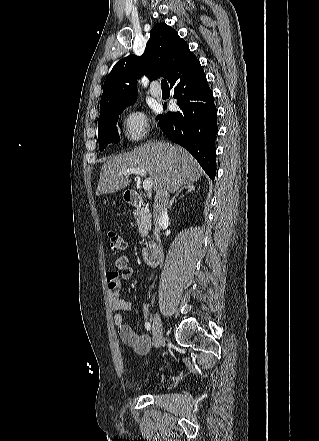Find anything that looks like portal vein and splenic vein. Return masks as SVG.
<instances>
[{
    "label": "portal vein and splenic vein",
    "instance_id": "portal-vein-and-splenic-vein-1",
    "mask_svg": "<svg viewBox=\"0 0 319 441\" xmlns=\"http://www.w3.org/2000/svg\"><path fill=\"white\" fill-rule=\"evenodd\" d=\"M127 174H136L145 177V179L143 180V189L146 191L151 190L153 186V179L152 177H146V170L144 168H128L118 173V175H127Z\"/></svg>",
    "mask_w": 319,
    "mask_h": 441
}]
</instances>
